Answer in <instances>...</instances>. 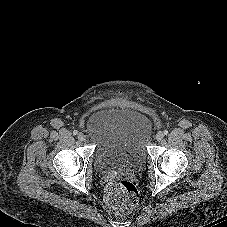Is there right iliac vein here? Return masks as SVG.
Returning <instances> with one entry per match:
<instances>
[{"instance_id":"obj_1","label":"right iliac vein","mask_w":227,"mask_h":227,"mask_svg":"<svg viewBox=\"0 0 227 227\" xmlns=\"http://www.w3.org/2000/svg\"><path fill=\"white\" fill-rule=\"evenodd\" d=\"M84 134L82 133V132H80L79 134H78V139L79 140H81V141H83L84 140Z\"/></svg>"}]
</instances>
